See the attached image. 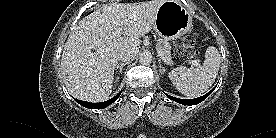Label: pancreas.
I'll use <instances>...</instances> for the list:
<instances>
[{
    "label": "pancreas",
    "instance_id": "obj_1",
    "mask_svg": "<svg viewBox=\"0 0 276 138\" xmlns=\"http://www.w3.org/2000/svg\"><path fill=\"white\" fill-rule=\"evenodd\" d=\"M157 49L161 50L164 54V56L172 62V57H171V46L169 42L166 39L159 38L157 40Z\"/></svg>",
    "mask_w": 276,
    "mask_h": 138
}]
</instances>
